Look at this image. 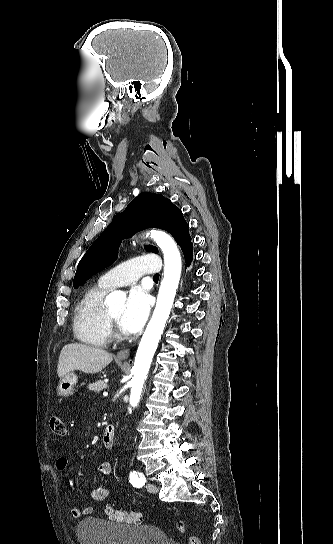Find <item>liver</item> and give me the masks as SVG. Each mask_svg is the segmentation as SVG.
I'll list each match as a JSON object with an SVG mask.
<instances>
[{"label":"liver","mask_w":333,"mask_h":544,"mask_svg":"<svg viewBox=\"0 0 333 544\" xmlns=\"http://www.w3.org/2000/svg\"><path fill=\"white\" fill-rule=\"evenodd\" d=\"M112 360V354L106 350L80 343H70L61 350L57 374L62 378L74 370L88 374L98 373Z\"/></svg>","instance_id":"1"}]
</instances>
